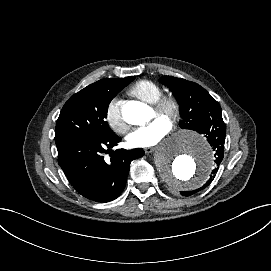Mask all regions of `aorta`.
I'll list each match as a JSON object with an SVG mask.
<instances>
[{"mask_svg": "<svg viewBox=\"0 0 271 271\" xmlns=\"http://www.w3.org/2000/svg\"><path fill=\"white\" fill-rule=\"evenodd\" d=\"M124 120L141 125L149 119L147 105L130 101L122 108ZM155 164L161 178L173 190L196 189L201 186L214 166L209 145L198 134L183 132L165 140L155 152Z\"/></svg>", "mask_w": 271, "mask_h": 271, "instance_id": "762f6f07", "label": "aorta"}]
</instances>
